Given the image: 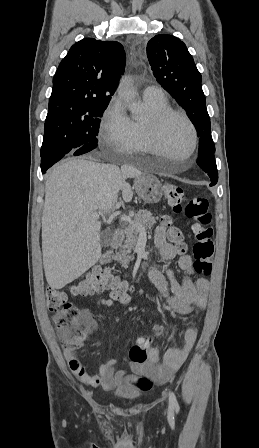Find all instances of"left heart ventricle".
Returning a JSON list of instances; mask_svg holds the SVG:
<instances>
[{
    "label": "left heart ventricle",
    "instance_id": "1",
    "mask_svg": "<svg viewBox=\"0 0 259 448\" xmlns=\"http://www.w3.org/2000/svg\"><path fill=\"white\" fill-rule=\"evenodd\" d=\"M191 142L192 136L187 124L180 118H172L162 129L165 149H152L149 154L167 162H186L190 160Z\"/></svg>",
    "mask_w": 259,
    "mask_h": 448
}]
</instances>
